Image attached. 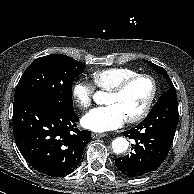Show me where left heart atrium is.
Returning <instances> with one entry per match:
<instances>
[{"label":"left heart atrium","mask_w":194,"mask_h":194,"mask_svg":"<svg viewBox=\"0 0 194 194\" xmlns=\"http://www.w3.org/2000/svg\"><path fill=\"white\" fill-rule=\"evenodd\" d=\"M125 117L114 105L97 107L83 116L82 125L95 132H105L119 128L125 122Z\"/></svg>","instance_id":"39dd6f15"}]
</instances>
